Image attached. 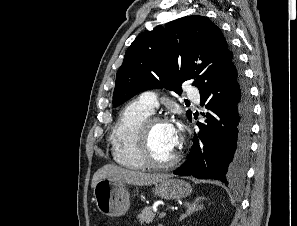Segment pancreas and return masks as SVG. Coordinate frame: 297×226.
Here are the masks:
<instances>
[{"mask_svg": "<svg viewBox=\"0 0 297 226\" xmlns=\"http://www.w3.org/2000/svg\"><path fill=\"white\" fill-rule=\"evenodd\" d=\"M155 214L152 207H145L137 216V219L140 223H152Z\"/></svg>", "mask_w": 297, "mask_h": 226, "instance_id": "cf45deb5", "label": "pancreas"}]
</instances>
